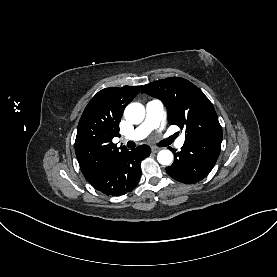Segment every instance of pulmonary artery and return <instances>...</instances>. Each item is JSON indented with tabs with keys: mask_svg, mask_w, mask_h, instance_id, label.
<instances>
[{
	"mask_svg": "<svg viewBox=\"0 0 277 277\" xmlns=\"http://www.w3.org/2000/svg\"><path fill=\"white\" fill-rule=\"evenodd\" d=\"M163 104L159 100H151L146 104L145 120L127 137L128 140L144 139L153 129L157 128L162 120ZM185 142L183 136L176 141V147L182 148Z\"/></svg>",
	"mask_w": 277,
	"mask_h": 277,
	"instance_id": "1",
	"label": "pulmonary artery"
}]
</instances>
